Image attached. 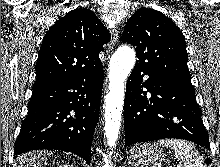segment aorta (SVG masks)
I'll list each match as a JSON object with an SVG mask.
<instances>
[{
    "label": "aorta",
    "mask_w": 220,
    "mask_h": 167,
    "mask_svg": "<svg viewBox=\"0 0 220 167\" xmlns=\"http://www.w3.org/2000/svg\"><path fill=\"white\" fill-rule=\"evenodd\" d=\"M134 63L135 52L127 45L119 47L110 59L109 92L105 97L104 127V135L110 147H114L118 140L124 104V83Z\"/></svg>",
    "instance_id": "1"
}]
</instances>
